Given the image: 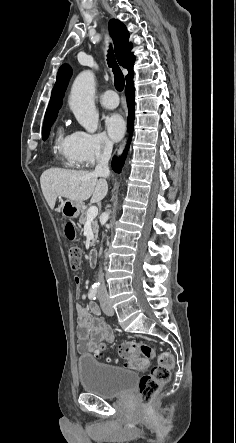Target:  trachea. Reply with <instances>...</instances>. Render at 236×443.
Segmentation results:
<instances>
[{
  "label": "trachea",
  "instance_id": "trachea-1",
  "mask_svg": "<svg viewBox=\"0 0 236 443\" xmlns=\"http://www.w3.org/2000/svg\"><path fill=\"white\" fill-rule=\"evenodd\" d=\"M108 65L110 68H112V71L114 73V85L115 88L118 91H122L124 89V75L119 67V65L116 62L113 49L110 48L108 51Z\"/></svg>",
  "mask_w": 236,
  "mask_h": 443
}]
</instances>
